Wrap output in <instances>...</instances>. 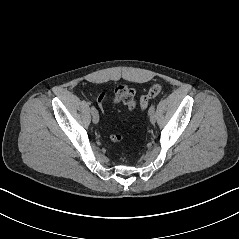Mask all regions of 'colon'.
<instances>
[{
    "instance_id": "obj_1",
    "label": "colon",
    "mask_w": 239,
    "mask_h": 239,
    "mask_svg": "<svg viewBox=\"0 0 239 239\" xmlns=\"http://www.w3.org/2000/svg\"><path fill=\"white\" fill-rule=\"evenodd\" d=\"M161 91V85L160 84H153L149 90L147 91L146 94H144L143 96H141L140 98V107L141 109H146V107L148 106V103L151 99L155 98ZM108 95V92L105 91L103 92L100 97H99V103L100 105L103 104L106 96ZM110 140L112 142H121L123 141L124 137L121 134H111L109 136Z\"/></svg>"
}]
</instances>
